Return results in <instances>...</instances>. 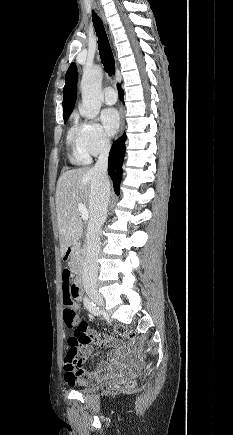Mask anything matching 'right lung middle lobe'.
Returning a JSON list of instances; mask_svg holds the SVG:
<instances>
[{"label":"right lung middle lobe","mask_w":233,"mask_h":435,"mask_svg":"<svg viewBox=\"0 0 233 435\" xmlns=\"http://www.w3.org/2000/svg\"><path fill=\"white\" fill-rule=\"evenodd\" d=\"M68 117H69V116H63V119H64L65 122H66V120H67Z\"/></svg>","instance_id":"right-lung-middle-lobe-1"}]
</instances>
